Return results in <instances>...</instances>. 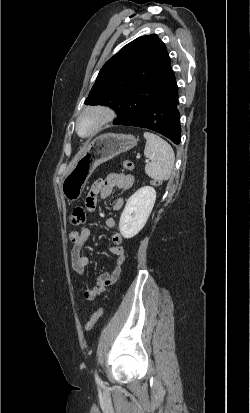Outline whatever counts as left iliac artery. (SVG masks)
<instances>
[{
  "label": "left iliac artery",
  "mask_w": 250,
  "mask_h": 413,
  "mask_svg": "<svg viewBox=\"0 0 250 413\" xmlns=\"http://www.w3.org/2000/svg\"><path fill=\"white\" fill-rule=\"evenodd\" d=\"M95 379H96L97 382H100V379H99L97 373L95 374Z\"/></svg>",
  "instance_id": "left-iliac-artery-1"
}]
</instances>
